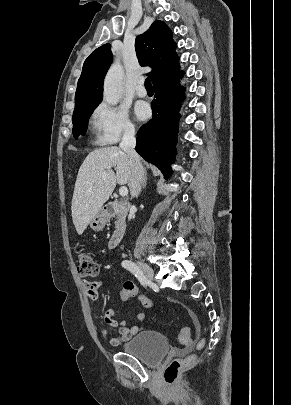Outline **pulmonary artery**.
I'll use <instances>...</instances> for the list:
<instances>
[{
	"instance_id": "obj_1",
	"label": "pulmonary artery",
	"mask_w": 291,
	"mask_h": 405,
	"mask_svg": "<svg viewBox=\"0 0 291 405\" xmlns=\"http://www.w3.org/2000/svg\"><path fill=\"white\" fill-rule=\"evenodd\" d=\"M135 93L138 97H145L147 95V91L144 87V81L142 79L138 81L135 88Z\"/></svg>"
}]
</instances>
